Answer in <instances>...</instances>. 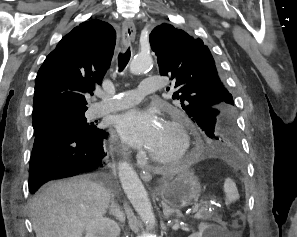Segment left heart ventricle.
<instances>
[{"instance_id": "obj_1", "label": "left heart ventricle", "mask_w": 297, "mask_h": 237, "mask_svg": "<svg viewBox=\"0 0 297 237\" xmlns=\"http://www.w3.org/2000/svg\"><path fill=\"white\" fill-rule=\"evenodd\" d=\"M179 148V136L176 134L175 131L163 124L160 135L150 152L158 156L166 157L178 152Z\"/></svg>"}]
</instances>
